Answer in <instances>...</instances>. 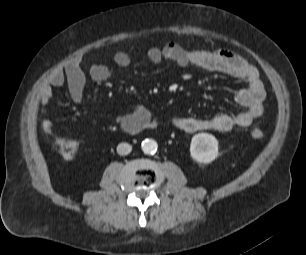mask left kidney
Segmentation results:
<instances>
[{
    "mask_svg": "<svg viewBox=\"0 0 306 255\" xmlns=\"http://www.w3.org/2000/svg\"><path fill=\"white\" fill-rule=\"evenodd\" d=\"M190 154L199 163L212 162L218 156V141L208 133H198L192 137Z\"/></svg>",
    "mask_w": 306,
    "mask_h": 255,
    "instance_id": "obj_1",
    "label": "left kidney"
}]
</instances>
